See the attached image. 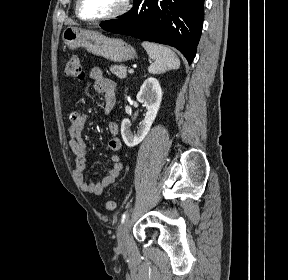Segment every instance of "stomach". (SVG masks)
Segmentation results:
<instances>
[{"label":"stomach","mask_w":288,"mask_h":280,"mask_svg":"<svg viewBox=\"0 0 288 280\" xmlns=\"http://www.w3.org/2000/svg\"><path fill=\"white\" fill-rule=\"evenodd\" d=\"M62 39L70 49L85 48L88 52L113 62H124L136 57V50L119 38L106 37L98 31L67 27Z\"/></svg>","instance_id":"stomach-1"}]
</instances>
